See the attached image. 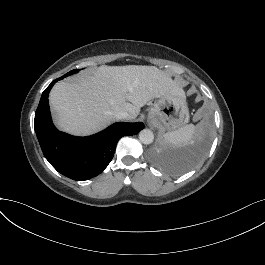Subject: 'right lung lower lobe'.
<instances>
[{"instance_id":"right-lung-lower-lobe-1","label":"right lung lower lobe","mask_w":265,"mask_h":265,"mask_svg":"<svg viewBox=\"0 0 265 265\" xmlns=\"http://www.w3.org/2000/svg\"><path fill=\"white\" fill-rule=\"evenodd\" d=\"M62 78L54 80L43 92L34 128L44 156L58 172L73 180H87L104 171L121 137L136 135L145 126L141 122H119L89 137L58 131L51 120L48 95L54 83Z\"/></svg>"}]
</instances>
